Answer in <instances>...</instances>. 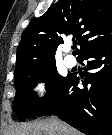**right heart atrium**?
Segmentation results:
<instances>
[{
	"instance_id": "1",
	"label": "right heart atrium",
	"mask_w": 112,
	"mask_h": 135,
	"mask_svg": "<svg viewBox=\"0 0 112 135\" xmlns=\"http://www.w3.org/2000/svg\"><path fill=\"white\" fill-rule=\"evenodd\" d=\"M32 95L36 99H42L47 93V83L44 80L37 81L32 87Z\"/></svg>"
}]
</instances>
